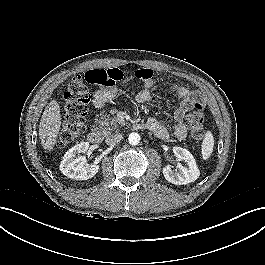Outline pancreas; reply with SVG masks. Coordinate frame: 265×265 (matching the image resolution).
<instances>
[{"instance_id": "obj_1", "label": "pancreas", "mask_w": 265, "mask_h": 265, "mask_svg": "<svg viewBox=\"0 0 265 265\" xmlns=\"http://www.w3.org/2000/svg\"><path fill=\"white\" fill-rule=\"evenodd\" d=\"M100 129L102 130V133L107 136L110 134V132L115 129L116 131L119 130L120 125L117 124L116 120H112L109 122V118H105V120L101 121Z\"/></svg>"}]
</instances>
